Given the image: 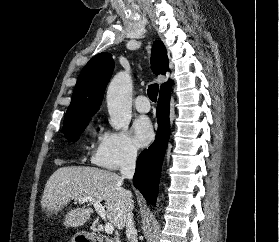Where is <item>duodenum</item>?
Segmentation results:
<instances>
[{"label":"duodenum","instance_id":"1","mask_svg":"<svg viewBox=\"0 0 279 242\" xmlns=\"http://www.w3.org/2000/svg\"><path fill=\"white\" fill-rule=\"evenodd\" d=\"M96 242H100V239H99V238H97V239H96Z\"/></svg>","mask_w":279,"mask_h":242}]
</instances>
